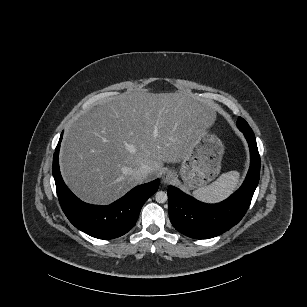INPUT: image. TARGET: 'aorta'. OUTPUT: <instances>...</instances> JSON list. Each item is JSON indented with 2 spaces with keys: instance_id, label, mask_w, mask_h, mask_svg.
Here are the masks:
<instances>
[{
  "instance_id": "1",
  "label": "aorta",
  "mask_w": 307,
  "mask_h": 307,
  "mask_svg": "<svg viewBox=\"0 0 307 307\" xmlns=\"http://www.w3.org/2000/svg\"><path fill=\"white\" fill-rule=\"evenodd\" d=\"M168 199L167 194L164 191H159L155 194V200L158 203H164Z\"/></svg>"
}]
</instances>
